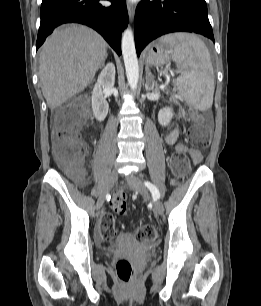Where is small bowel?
<instances>
[{
    "mask_svg": "<svg viewBox=\"0 0 261 306\" xmlns=\"http://www.w3.org/2000/svg\"><path fill=\"white\" fill-rule=\"evenodd\" d=\"M178 136H179L178 132L174 130L167 135L166 142L170 145H175L177 149H184L185 147H183L182 145L176 144L178 140ZM189 153L195 163H199L201 161L202 157L198 150L191 148L189 149Z\"/></svg>",
    "mask_w": 261,
    "mask_h": 306,
    "instance_id": "1",
    "label": "small bowel"
}]
</instances>
